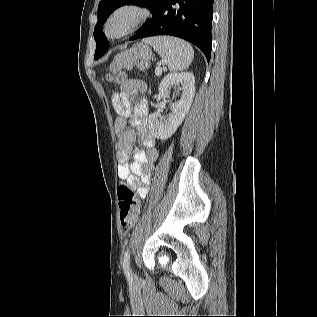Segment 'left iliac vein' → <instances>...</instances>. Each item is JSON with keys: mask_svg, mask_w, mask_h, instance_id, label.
<instances>
[{"mask_svg": "<svg viewBox=\"0 0 317 317\" xmlns=\"http://www.w3.org/2000/svg\"><path fill=\"white\" fill-rule=\"evenodd\" d=\"M131 274L135 277V275H134V273L132 272V270H131Z\"/></svg>", "mask_w": 317, "mask_h": 317, "instance_id": "1", "label": "left iliac vein"}]
</instances>
